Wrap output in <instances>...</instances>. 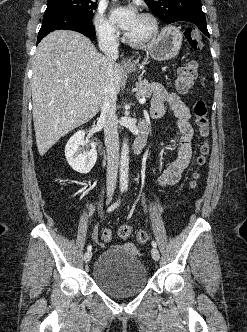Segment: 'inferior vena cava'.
Instances as JSON below:
<instances>
[{"instance_id": "602c4592", "label": "inferior vena cava", "mask_w": 247, "mask_h": 332, "mask_svg": "<svg viewBox=\"0 0 247 332\" xmlns=\"http://www.w3.org/2000/svg\"><path fill=\"white\" fill-rule=\"evenodd\" d=\"M99 48L105 54L108 61L107 72L111 77L112 66L118 58V42L114 34L104 30L99 35ZM117 92L110 79L105 85L101 105L100 119L104 123L105 145L107 151V197L112 198L117 182L119 166V136L116 118Z\"/></svg>"}]
</instances>
